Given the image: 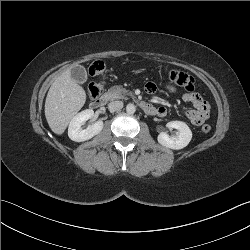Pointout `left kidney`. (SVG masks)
I'll return each mask as SVG.
<instances>
[{
  "label": "left kidney",
  "mask_w": 250,
  "mask_h": 250,
  "mask_svg": "<svg viewBox=\"0 0 250 250\" xmlns=\"http://www.w3.org/2000/svg\"><path fill=\"white\" fill-rule=\"evenodd\" d=\"M168 128H174L179 131L176 136H169L166 132H161L157 140L167 148L179 150L186 147L192 139V132L188 125L182 121H171L166 125Z\"/></svg>",
  "instance_id": "1"
}]
</instances>
